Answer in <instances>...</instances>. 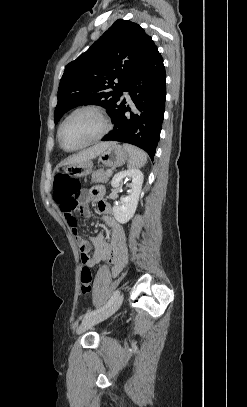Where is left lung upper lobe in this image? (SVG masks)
Returning a JSON list of instances; mask_svg holds the SVG:
<instances>
[{"label": "left lung upper lobe", "instance_id": "left-lung-upper-lobe-1", "mask_svg": "<svg viewBox=\"0 0 247 407\" xmlns=\"http://www.w3.org/2000/svg\"><path fill=\"white\" fill-rule=\"evenodd\" d=\"M156 49L152 38L138 24L115 21L85 53L65 67L55 124L67 111L83 104L102 106L110 116L127 82Z\"/></svg>", "mask_w": 247, "mask_h": 407}]
</instances>
